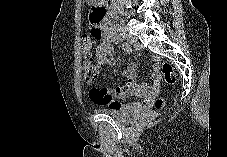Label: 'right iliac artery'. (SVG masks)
Listing matches in <instances>:
<instances>
[{
  "instance_id": "obj_1",
  "label": "right iliac artery",
  "mask_w": 227,
  "mask_h": 157,
  "mask_svg": "<svg viewBox=\"0 0 227 157\" xmlns=\"http://www.w3.org/2000/svg\"><path fill=\"white\" fill-rule=\"evenodd\" d=\"M118 31V28H114L112 31V34L114 36V40L118 42V44H123L122 49L126 50L127 52L130 50L129 43L127 42V39L125 36H119L116 32Z\"/></svg>"
}]
</instances>
